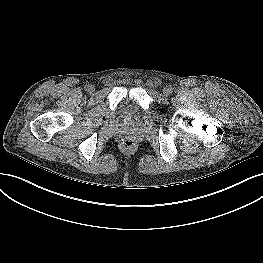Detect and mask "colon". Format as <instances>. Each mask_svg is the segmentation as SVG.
I'll return each mask as SVG.
<instances>
[{
    "mask_svg": "<svg viewBox=\"0 0 263 263\" xmlns=\"http://www.w3.org/2000/svg\"><path fill=\"white\" fill-rule=\"evenodd\" d=\"M122 144L123 146H131L133 142L131 140H124Z\"/></svg>",
    "mask_w": 263,
    "mask_h": 263,
    "instance_id": "colon-1",
    "label": "colon"
}]
</instances>
